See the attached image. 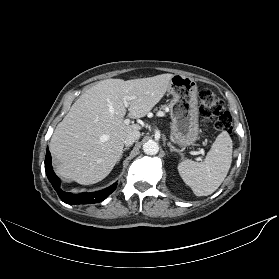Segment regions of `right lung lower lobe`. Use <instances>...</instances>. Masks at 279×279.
<instances>
[{
  "label": "right lung lower lobe",
  "mask_w": 279,
  "mask_h": 279,
  "mask_svg": "<svg viewBox=\"0 0 279 279\" xmlns=\"http://www.w3.org/2000/svg\"><path fill=\"white\" fill-rule=\"evenodd\" d=\"M45 171L49 181L51 182L53 188L56 190L60 199L67 204H88V203L101 202L116 189V183H115L104 190L94 192V193L72 194L63 191L60 188V179L56 176V174L52 169L51 154L48 150L46 152V157H45Z\"/></svg>",
  "instance_id": "98d812e1"
}]
</instances>
